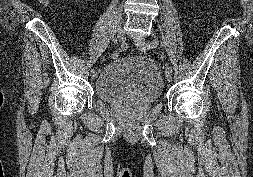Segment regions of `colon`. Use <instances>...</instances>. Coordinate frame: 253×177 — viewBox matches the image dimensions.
Instances as JSON below:
<instances>
[{"label":"colon","mask_w":253,"mask_h":177,"mask_svg":"<svg viewBox=\"0 0 253 177\" xmlns=\"http://www.w3.org/2000/svg\"><path fill=\"white\" fill-rule=\"evenodd\" d=\"M42 2L45 4V5H48L49 4V0H42ZM111 57L113 59L117 58L118 57V54L117 53H112Z\"/></svg>","instance_id":"obj_1"}]
</instances>
